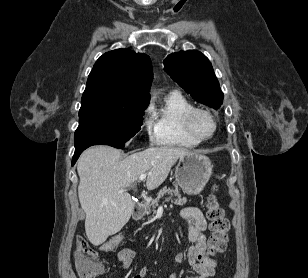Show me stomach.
Wrapping results in <instances>:
<instances>
[{
    "mask_svg": "<svg viewBox=\"0 0 308 278\" xmlns=\"http://www.w3.org/2000/svg\"><path fill=\"white\" fill-rule=\"evenodd\" d=\"M212 168L210 159L202 154L190 152L181 156L175 168V178L184 192L199 194L209 181Z\"/></svg>",
    "mask_w": 308,
    "mask_h": 278,
    "instance_id": "0dacf381",
    "label": "stomach"
}]
</instances>
